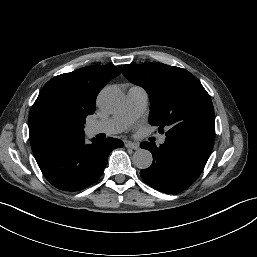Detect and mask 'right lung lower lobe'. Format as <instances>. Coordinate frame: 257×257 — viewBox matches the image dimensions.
Segmentation results:
<instances>
[{"label":"right lung lower lobe","mask_w":257,"mask_h":257,"mask_svg":"<svg viewBox=\"0 0 257 257\" xmlns=\"http://www.w3.org/2000/svg\"><path fill=\"white\" fill-rule=\"evenodd\" d=\"M121 147L123 142L116 138H92L91 143L86 144L84 135L68 136L34 152V157L43 175L54 187L78 191L99 179L109 153Z\"/></svg>","instance_id":"right-lung-lower-lobe-1"}]
</instances>
